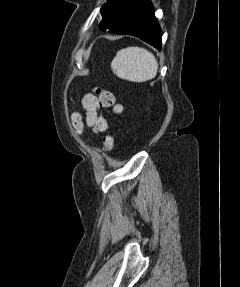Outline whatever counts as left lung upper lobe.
<instances>
[{
    "instance_id": "left-lung-upper-lobe-1",
    "label": "left lung upper lobe",
    "mask_w": 240,
    "mask_h": 287,
    "mask_svg": "<svg viewBox=\"0 0 240 287\" xmlns=\"http://www.w3.org/2000/svg\"><path fill=\"white\" fill-rule=\"evenodd\" d=\"M104 6H105V4H104V5L102 6V8H101V12H102V10H103Z\"/></svg>"
}]
</instances>
